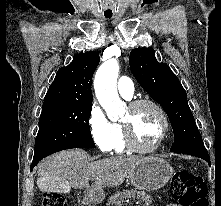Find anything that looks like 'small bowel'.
Wrapping results in <instances>:
<instances>
[{
  "label": "small bowel",
  "mask_w": 221,
  "mask_h": 206,
  "mask_svg": "<svg viewBox=\"0 0 221 206\" xmlns=\"http://www.w3.org/2000/svg\"><path fill=\"white\" fill-rule=\"evenodd\" d=\"M167 206H178V205H176V204H169V205H167Z\"/></svg>",
  "instance_id": "small-bowel-1"
}]
</instances>
